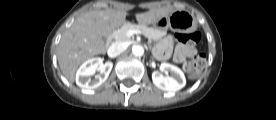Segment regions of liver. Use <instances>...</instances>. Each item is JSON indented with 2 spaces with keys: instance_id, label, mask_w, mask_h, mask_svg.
I'll return each instance as SVG.
<instances>
[{
  "instance_id": "6515ba94",
  "label": "liver",
  "mask_w": 276,
  "mask_h": 120,
  "mask_svg": "<svg viewBox=\"0 0 276 120\" xmlns=\"http://www.w3.org/2000/svg\"><path fill=\"white\" fill-rule=\"evenodd\" d=\"M174 11L172 7L152 9L136 14L141 25H149ZM126 11L93 10L75 20L63 34L57 50L59 67L69 82H74L75 72L85 60L106 51L105 38L125 23Z\"/></svg>"
}]
</instances>
